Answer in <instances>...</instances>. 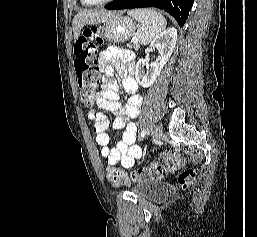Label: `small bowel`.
I'll return each instance as SVG.
<instances>
[{"instance_id":"1","label":"small bowel","mask_w":257,"mask_h":237,"mask_svg":"<svg viewBox=\"0 0 257 237\" xmlns=\"http://www.w3.org/2000/svg\"><path fill=\"white\" fill-rule=\"evenodd\" d=\"M99 64L105 75L103 89L95 97L96 105L99 109L115 115L113 130H123L120 140L114 147L110 146V135L107 132L109 121L106 116L98 110H90L88 118L93 121L95 139L106 162L110 165L120 163L129 169L142 157V149L135 143L137 126L133 121L138 116L142 104V96L138 93V84L133 75V55L129 51L109 47L100 53ZM116 71L122 77L125 91L130 94L125 105L118 97Z\"/></svg>"}]
</instances>
